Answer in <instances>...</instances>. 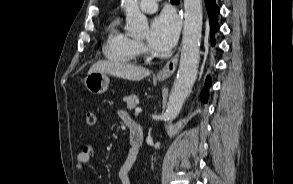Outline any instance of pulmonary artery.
Returning <instances> with one entry per match:
<instances>
[{"label": "pulmonary artery", "mask_w": 293, "mask_h": 184, "mask_svg": "<svg viewBox=\"0 0 293 184\" xmlns=\"http://www.w3.org/2000/svg\"><path fill=\"white\" fill-rule=\"evenodd\" d=\"M159 0H141L140 1V9L145 13H153L158 8Z\"/></svg>", "instance_id": "pulmonary-artery-1"}]
</instances>
